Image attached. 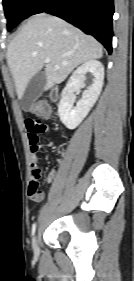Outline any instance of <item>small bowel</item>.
Instances as JSON below:
<instances>
[{
	"mask_svg": "<svg viewBox=\"0 0 134 281\" xmlns=\"http://www.w3.org/2000/svg\"><path fill=\"white\" fill-rule=\"evenodd\" d=\"M25 127L28 131V138L30 143V152H31V173H30V179L32 181L39 182L40 176H41V168L38 161L37 153L39 150V134L45 133L48 131V126L39 119L34 118H27L25 119ZM48 147H52L53 143L48 142ZM57 176L56 169H52L46 178L47 182H52ZM44 197V193H41L40 197H31L34 201H40Z\"/></svg>",
	"mask_w": 134,
	"mask_h": 281,
	"instance_id": "obj_1",
	"label": "small bowel"
}]
</instances>
